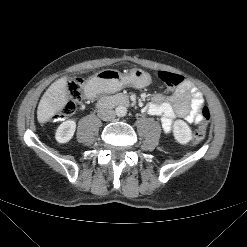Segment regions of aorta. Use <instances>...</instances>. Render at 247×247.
Wrapping results in <instances>:
<instances>
[{
	"instance_id": "762f6f07",
	"label": "aorta",
	"mask_w": 247,
	"mask_h": 247,
	"mask_svg": "<svg viewBox=\"0 0 247 247\" xmlns=\"http://www.w3.org/2000/svg\"><path fill=\"white\" fill-rule=\"evenodd\" d=\"M115 113L118 117H124L127 114V108L123 105L117 106Z\"/></svg>"
}]
</instances>
